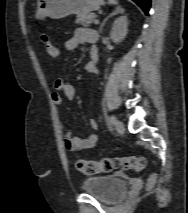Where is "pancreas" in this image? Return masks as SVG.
<instances>
[{"label": "pancreas", "mask_w": 188, "mask_h": 213, "mask_svg": "<svg viewBox=\"0 0 188 213\" xmlns=\"http://www.w3.org/2000/svg\"><path fill=\"white\" fill-rule=\"evenodd\" d=\"M95 18L96 15L94 13L78 15L75 22L82 26H89L94 22Z\"/></svg>", "instance_id": "pancreas-1"}]
</instances>
